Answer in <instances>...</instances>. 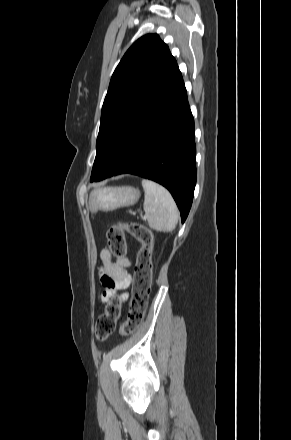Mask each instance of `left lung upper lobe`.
<instances>
[{
    "instance_id": "left-lung-upper-lobe-1",
    "label": "left lung upper lobe",
    "mask_w": 291,
    "mask_h": 440,
    "mask_svg": "<svg viewBox=\"0 0 291 440\" xmlns=\"http://www.w3.org/2000/svg\"><path fill=\"white\" fill-rule=\"evenodd\" d=\"M177 70L176 60L157 34L141 37L127 50L103 103L91 178L102 171L127 130Z\"/></svg>"
}]
</instances>
